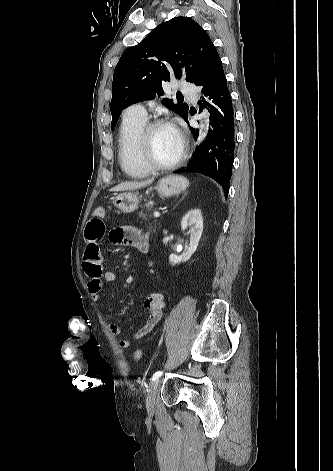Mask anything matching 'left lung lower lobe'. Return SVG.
Returning <instances> with one entry per match:
<instances>
[{
	"label": "left lung lower lobe",
	"mask_w": 333,
	"mask_h": 471,
	"mask_svg": "<svg viewBox=\"0 0 333 471\" xmlns=\"http://www.w3.org/2000/svg\"><path fill=\"white\" fill-rule=\"evenodd\" d=\"M195 85L202 87L203 96L199 103L209 108L211 129L188 165L175 173L197 172L211 176L221 184L227 197L234 162L235 121L232 99L217 51ZM184 120L189 124L187 116ZM191 131L197 140L198 129L191 127Z\"/></svg>",
	"instance_id": "obj_1"
}]
</instances>
